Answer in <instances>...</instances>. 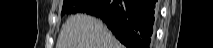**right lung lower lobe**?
Returning <instances> with one entry per match:
<instances>
[{"instance_id": "98d812e1", "label": "right lung lower lobe", "mask_w": 213, "mask_h": 48, "mask_svg": "<svg viewBox=\"0 0 213 48\" xmlns=\"http://www.w3.org/2000/svg\"><path fill=\"white\" fill-rule=\"evenodd\" d=\"M156 0H91L84 13L101 18L129 48H148Z\"/></svg>"}]
</instances>
